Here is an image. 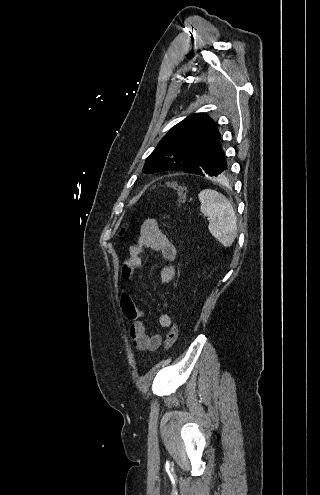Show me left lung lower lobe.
<instances>
[{
    "instance_id": "left-lung-lower-lobe-1",
    "label": "left lung lower lobe",
    "mask_w": 320,
    "mask_h": 495,
    "mask_svg": "<svg viewBox=\"0 0 320 495\" xmlns=\"http://www.w3.org/2000/svg\"><path fill=\"white\" fill-rule=\"evenodd\" d=\"M184 172L193 173L205 177H224L230 172V165L226 160L225 153L220 141L208 153H206L198 163L186 169Z\"/></svg>"
}]
</instances>
